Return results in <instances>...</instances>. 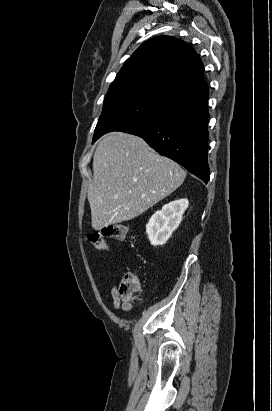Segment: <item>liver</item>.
I'll list each match as a JSON object with an SVG mask.
<instances>
[{"instance_id":"obj_1","label":"liver","mask_w":272,"mask_h":411,"mask_svg":"<svg viewBox=\"0 0 272 411\" xmlns=\"http://www.w3.org/2000/svg\"><path fill=\"white\" fill-rule=\"evenodd\" d=\"M186 172L157 154L140 137L111 132L93 156V182L88 189L95 230L131 220L175 191Z\"/></svg>"}]
</instances>
